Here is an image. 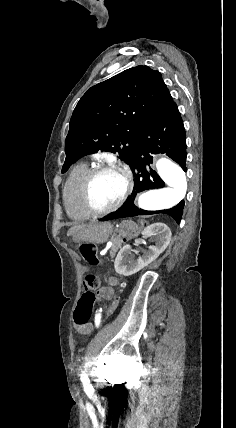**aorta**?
Returning a JSON list of instances; mask_svg holds the SVG:
<instances>
[{
    "instance_id": "1",
    "label": "aorta",
    "mask_w": 236,
    "mask_h": 428,
    "mask_svg": "<svg viewBox=\"0 0 236 428\" xmlns=\"http://www.w3.org/2000/svg\"><path fill=\"white\" fill-rule=\"evenodd\" d=\"M156 168L166 186L144 192L139 196L138 206L146 211L173 208L183 200L187 190L185 172L179 165L167 158H160L156 162Z\"/></svg>"
}]
</instances>
